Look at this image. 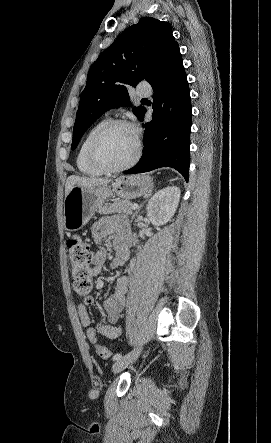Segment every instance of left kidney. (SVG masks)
I'll return each instance as SVG.
<instances>
[{"label":"left kidney","instance_id":"5707ae66","mask_svg":"<svg viewBox=\"0 0 271 443\" xmlns=\"http://www.w3.org/2000/svg\"><path fill=\"white\" fill-rule=\"evenodd\" d=\"M180 194L177 186H168L156 192L146 208L147 216L153 225H163L171 220L179 204Z\"/></svg>","mask_w":271,"mask_h":443}]
</instances>
